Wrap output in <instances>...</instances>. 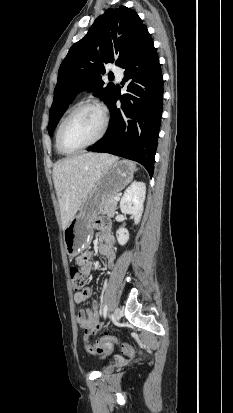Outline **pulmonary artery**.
Segmentation results:
<instances>
[{"label": "pulmonary artery", "instance_id": "obj_1", "mask_svg": "<svg viewBox=\"0 0 233 413\" xmlns=\"http://www.w3.org/2000/svg\"><path fill=\"white\" fill-rule=\"evenodd\" d=\"M112 71L114 72L117 80L120 81V80L122 79V77H123V71H122L120 68H118V67H114V68L112 69Z\"/></svg>", "mask_w": 233, "mask_h": 413}]
</instances>
